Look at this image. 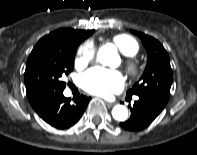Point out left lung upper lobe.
I'll use <instances>...</instances> for the list:
<instances>
[{"label": "left lung upper lobe", "instance_id": "obj_1", "mask_svg": "<svg viewBox=\"0 0 197 155\" xmlns=\"http://www.w3.org/2000/svg\"><path fill=\"white\" fill-rule=\"evenodd\" d=\"M131 32L140 37L145 46L147 65L140 81L128 90L127 96H143L166 105L173 78L169 56L155 38L141 32Z\"/></svg>", "mask_w": 197, "mask_h": 155}]
</instances>
